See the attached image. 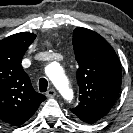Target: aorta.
I'll return each instance as SVG.
<instances>
[{"label": "aorta", "instance_id": "obj_1", "mask_svg": "<svg viewBox=\"0 0 133 133\" xmlns=\"http://www.w3.org/2000/svg\"><path fill=\"white\" fill-rule=\"evenodd\" d=\"M46 74L53 82L55 87L60 91L62 96L67 100L73 99V92L70 89L66 78L61 71V67L57 63H52L46 67Z\"/></svg>", "mask_w": 133, "mask_h": 133}]
</instances>
